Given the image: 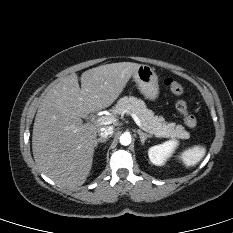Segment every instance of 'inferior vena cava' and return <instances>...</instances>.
<instances>
[{"label":"inferior vena cava","instance_id":"obj_1","mask_svg":"<svg viewBox=\"0 0 233 233\" xmlns=\"http://www.w3.org/2000/svg\"><path fill=\"white\" fill-rule=\"evenodd\" d=\"M114 128L112 126L102 127L98 130V134L101 138H108L113 135Z\"/></svg>","mask_w":233,"mask_h":233}]
</instances>
